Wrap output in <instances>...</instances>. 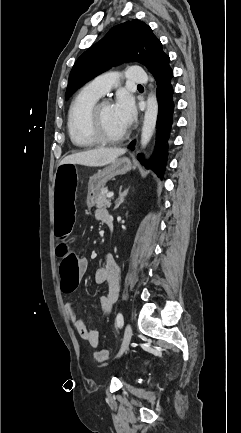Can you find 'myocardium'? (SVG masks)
<instances>
[{
    "instance_id": "myocardium-1",
    "label": "myocardium",
    "mask_w": 241,
    "mask_h": 433,
    "mask_svg": "<svg viewBox=\"0 0 241 433\" xmlns=\"http://www.w3.org/2000/svg\"><path fill=\"white\" fill-rule=\"evenodd\" d=\"M106 105H111V103L108 100H101V101H97L93 105V107L90 111L89 120H88L89 132L97 143L114 144V143L121 142L127 137V135H128L127 130H125L119 136L111 137V136L106 135L102 129L101 111H102V108Z\"/></svg>"
}]
</instances>
